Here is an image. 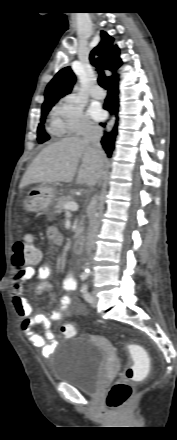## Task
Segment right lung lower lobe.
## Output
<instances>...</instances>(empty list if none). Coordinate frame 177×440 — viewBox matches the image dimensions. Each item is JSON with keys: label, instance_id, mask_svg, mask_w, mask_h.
Here are the masks:
<instances>
[{"label": "right lung lower lobe", "instance_id": "98d812e1", "mask_svg": "<svg viewBox=\"0 0 177 440\" xmlns=\"http://www.w3.org/2000/svg\"><path fill=\"white\" fill-rule=\"evenodd\" d=\"M109 91L105 99L104 109L108 110L111 114L117 115L119 99H118V75L115 74L112 78L108 80ZM101 126L105 127V123H101ZM117 135V123L113 127L110 133H105L102 137L101 143L105 149L108 157L111 156L114 149L115 138Z\"/></svg>", "mask_w": 177, "mask_h": 440}]
</instances>
